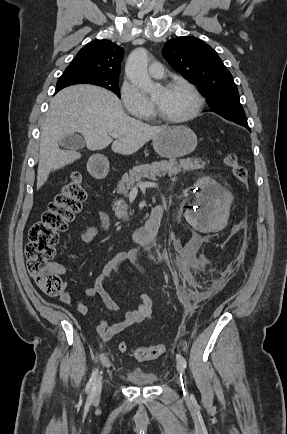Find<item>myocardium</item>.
Instances as JSON below:
<instances>
[{
    "label": "myocardium",
    "instance_id": "myocardium-1",
    "mask_svg": "<svg viewBox=\"0 0 287 434\" xmlns=\"http://www.w3.org/2000/svg\"><path fill=\"white\" fill-rule=\"evenodd\" d=\"M174 87L185 88L191 93V95L194 98V105H193L191 111L184 116L172 118V117H168V116L164 115L160 111L158 106L153 102L154 113H155L156 117L163 122H166L169 124H182V123H185V122H188V121L194 119L200 113V111L202 110V107H203L204 100H203L202 95L198 91V89L187 80L174 79V80L167 81L163 85L164 89H170V88H174Z\"/></svg>",
    "mask_w": 287,
    "mask_h": 434
}]
</instances>
